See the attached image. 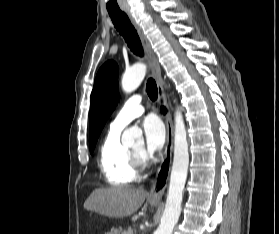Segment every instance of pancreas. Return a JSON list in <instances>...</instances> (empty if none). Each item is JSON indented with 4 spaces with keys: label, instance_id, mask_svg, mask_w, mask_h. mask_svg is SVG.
Wrapping results in <instances>:
<instances>
[{
    "label": "pancreas",
    "instance_id": "1",
    "mask_svg": "<svg viewBox=\"0 0 279 234\" xmlns=\"http://www.w3.org/2000/svg\"><path fill=\"white\" fill-rule=\"evenodd\" d=\"M121 234H133V231L131 228H129L128 230H125L124 232H122Z\"/></svg>",
    "mask_w": 279,
    "mask_h": 234
}]
</instances>
